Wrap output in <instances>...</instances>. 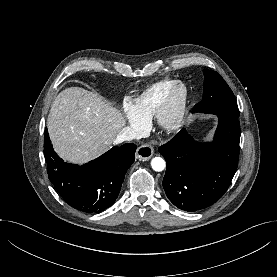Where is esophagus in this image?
Listing matches in <instances>:
<instances>
[{"label":"esophagus","mask_w":277,"mask_h":277,"mask_svg":"<svg viewBox=\"0 0 277 277\" xmlns=\"http://www.w3.org/2000/svg\"><path fill=\"white\" fill-rule=\"evenodd\" d=\"M154 154V149L150 145H141L136 151V158L140 161L149 160Z\"/></svg>","instance_id":"34e87169"}]
</instances>
